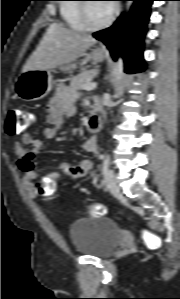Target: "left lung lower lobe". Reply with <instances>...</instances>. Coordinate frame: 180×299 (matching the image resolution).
I'll list each match as a JSON object with an SVG mask.
<instances>
[{"label":"left lung lower lobe","instance_id":"obj_1","mask_svg":"<svg viewBox=\"0 0 180 299\" xmlns=\"http://www.w3.org/2000/svg\"><path fill=\"white\" fill-rule=\"evenodd\" d=\"M121 1H134L131 11L121 16L111 27L95 32L93 36L103 41L114 60L123 56L126 72H142L145 69L143 38L150 16L149 9L154 0Z\"/></svg>","mask_w":180,"mask_h":299}]
</instances>
